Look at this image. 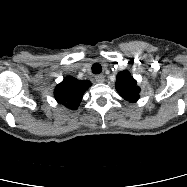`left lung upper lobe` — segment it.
<instances>
[{
	"instance_id": "left-lung-upper-lobe-1",
	"label": "left lung upper lobe",
	"mask_w": 187,
	"mask_h": 187,
	"mask_svg": "<svg viewBox=\"0 0 187 187\" xmlns=\"http://www.w3.org/2000/svg\"><path fill=\"white\" fill-rule=\"evenodd\" d=\"M116 90L125 100L136 102L139 99L140 87L128 70H123L117 74L115 83Z\"/></svg>"
}]
</instances>
